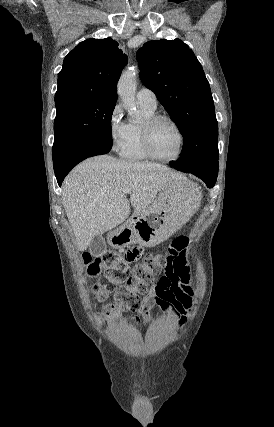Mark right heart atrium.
Masks as SVG:
<instances>
[{"instance_id":"d8ad5b80","label":"right heart atrium","mask_w":274,"mask_h":427,"mask_svg":"<svg viewBox=\"0 0 274 427\" xmlns=\"http://www.w3.org/2000/svg\"><path fill=\"white\" fill-rule=\"evenodd\" d=\"M127 124L122 121L120 108L115 106L107 117V134L113 150H120L126 136Z\"/></svg>"}]
</instances>
